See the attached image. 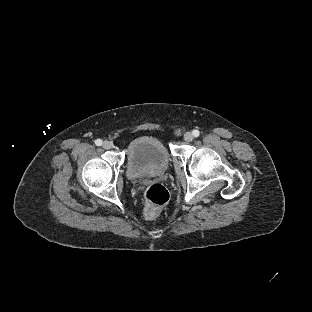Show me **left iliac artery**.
<instances>
[{
    "instance_id": "44dca946",
    "label": "left iliac artery",
    "mask_w": 312,
    "mask_h": 312,
    "mask_svg": "<svg viewBox=\"0 0 312 312\" xmlns=\"http://www.w3.org/2000/svg\"><path fill=\"white\" fill-rule=\"evenodd\" d=\"M192 134L194 137H198L200 133L198 130H193Z\"/></svg>"
}]
</instances>
